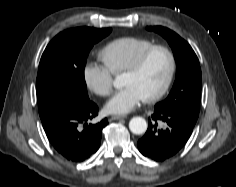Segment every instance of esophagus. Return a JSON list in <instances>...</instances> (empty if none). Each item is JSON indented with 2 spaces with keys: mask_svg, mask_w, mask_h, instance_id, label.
I'll return each mask as SVG.
<instances>
[{
  "mask_svg": "<svg viewBox=\"0 0 236 187\" xmlns=\"http://www.w3.org/2000/svg\"><path fill=\"white\" fill-rule=\"evenodd\" d=\"M127 116L125 115H114L111 117V120H120V119H125Z\"/></svg>",
  "mask_w": 236,
  "mask_h": 187,
  "instance_id": "esophagus-1",
  "label": "esophagus"
}]
</instances>
